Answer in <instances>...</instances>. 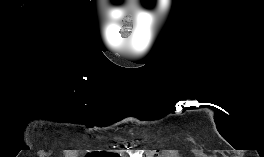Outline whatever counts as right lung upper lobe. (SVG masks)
I'll return each mask as SVG.
<instances>
[{"label":"right lung upper lobe","mask_w":264,"mask_h":157,"mask_svg":"<svg viewBox=\"0 0 264 157\" xmlns=\"http://www.w3.org/2000/svg\"><path fill=\"white\" fill-rule=\"evenodd\" d=\"M99 157H120L117 154H112V153H99V155H96Z\"/></svg>","instance_id":"cb5924a9"}]
</instances>
